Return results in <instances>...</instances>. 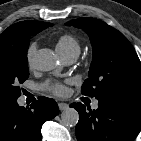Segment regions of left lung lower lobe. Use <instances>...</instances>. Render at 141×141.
<instances>
[{
	"instance_id": "left-lung-lower-lobe-1",
	"label": "left lung lower lobe",
	"mask_w": 141,
	"mask_h": 141,
	"mask_svg": "<svg viewBox=\"0 0 141 141\" xmlns=\"http://www.w3.org/2000/svg\"><path fill=\"white\" fill-rule=\"evenodd\" d=\"M79 112L78 141H134L141 130V103L117 98L98 100V109L72 103Z\"/></svg>"
}]
</instances>
